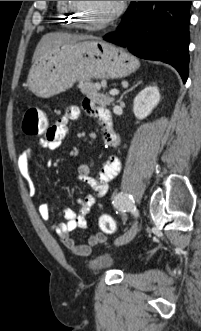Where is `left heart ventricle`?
<instances>
[{"label":"left heart ventricle","mask_w":201,"mask_h":331,"mask_svg":"<svg viewBox=\"0 0 201 331\" xmlns=\"http://www.w3.org/2000/svg\"><path fill=\"white\" fill-rule=\"evenodd\" d=\"M83 17L90 23H96L108 16L116 8L118 1H78Z\"/></svg>","instance_id":"1"}]
</instances>
